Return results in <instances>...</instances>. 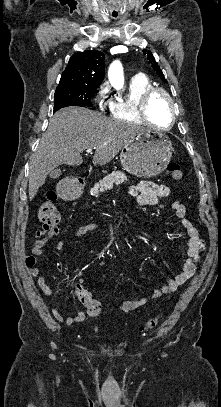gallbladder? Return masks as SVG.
Masks as SVG:
<instances>
[{
	"mask_svg": "<svg viewBox=\"0 0 221 407\" xmlns=\"http://www.w3.org/2000/svg\"><path fill=\"white\" fill-rule=\"evenodd\" d=\"M61 175V170L60 169H54L50 172L49 176L50 178H58Z\"/></svg>",
	"mask_w": 221,
	"mask_h": 407,
	"instance_id": "1",
	"label": "gallbladder"
}]
</instances>
